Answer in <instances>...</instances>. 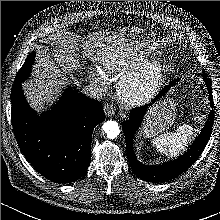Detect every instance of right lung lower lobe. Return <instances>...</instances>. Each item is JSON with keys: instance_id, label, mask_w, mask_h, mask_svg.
<instances>
[{"instance_id": "right-lung-lower-lobe-1", "label": "right lung lower lobe", "mask_w": 220, "mask_h": 220, "mask_svg": "<svg viewBox=\"0 0 220 220\" xmlns=\"http://www.w3.org/2000/svg\"><path fill=\"white\" fill-rule=\"evenodd\" d=\"M11 104L17 143L35 170L57 183H70L85 174L94 127L104 120L98 101L66 89L58 103L38 118L17 82L11 90Z\"/></svg>"}]
</instances>
